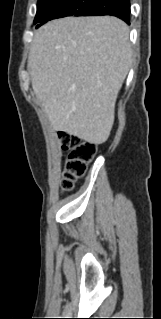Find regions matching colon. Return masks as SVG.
Listing matches in <instances>:
<instances>
[{"label":"colon","instance_id":"obj_1","mask_svg":"<svg viewBox=\"0 0 161 319\" xmlns=\"http://www.w3.org/2000/svg\"><path fill=\"white\" fill-rule=\"evenodd\" d=\"M59 138L62 148L69 150L63 169L61 187L64 191H70L85 175L87 165L95 157L96 144L65 133L61 134Z\"/></svg>","mask_w":161,"mask_h":319}]
</instances>
